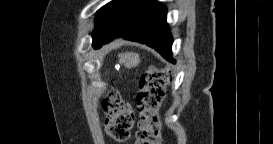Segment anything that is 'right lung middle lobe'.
Wrapping results in <instances>:
<instances>
[{"label":"right lung middle lobe","instance_id":"dd1d6c3e","mask_svg":"<svg viewBox=\"0 0 273 144\" xmlns=\"http://www.w3.org/2000/svg\"><path fill=\"white\" fill-rule=\"evenodd\" d=\"M119 0H113L110 3L106 4L105 6H103L97 13V17L95 19L96 23L95 26H97L105 17L106 13L108 12V10L113 7Z\"/></svg>","mask_w":273,"mask_h":144}]
</instances>
